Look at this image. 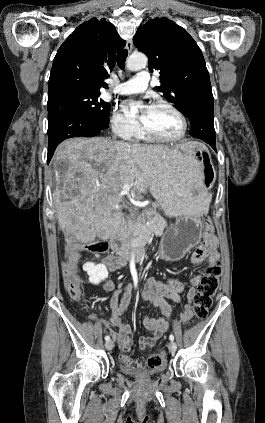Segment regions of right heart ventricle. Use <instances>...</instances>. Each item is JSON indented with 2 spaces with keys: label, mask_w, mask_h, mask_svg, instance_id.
Instances as JSON below:
<instances>
[{
  "label": "right heart ventricle",
  "mask_w": 265,
  "mask_h": 423,
  "mask_svg": "<svg viewBox=\"0 0 265 423\" xmlns=\"http://www.w3.org/2000/svg\"><path fill=\"white\" fill-rule=\"evenodd\" d=\"M135 138H137V139H144L145 137H144V135L141 133V132H139L137 135H136V137Z\"/></svg>",
  "instance_id": "1"
}]
</instances>
